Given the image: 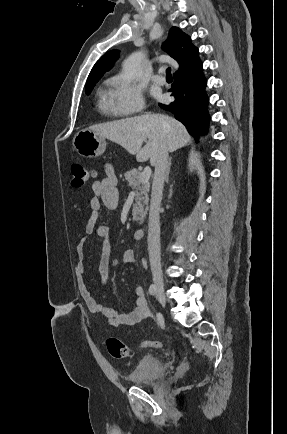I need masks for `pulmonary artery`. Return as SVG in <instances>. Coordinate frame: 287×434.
Segmentation results:
<instances>
[{"mask_svg": "<svg viewBox=\"0 0 287 434\" xmlns=\"http://www.w3.org/2000/svg\"><path fill=\"white\" fill-rule=\"evenodd\" d=\"M153 81L159 84H163L165 82V77L163 76V71L160 70L158 73L152 76Z\"/></svg>", "mask_w": 287, "mask_h": 434, "instance_id": "obj_1", "label": "pulmonary artery"}]
</instances>
